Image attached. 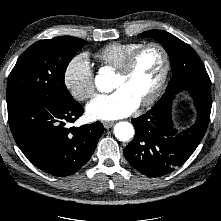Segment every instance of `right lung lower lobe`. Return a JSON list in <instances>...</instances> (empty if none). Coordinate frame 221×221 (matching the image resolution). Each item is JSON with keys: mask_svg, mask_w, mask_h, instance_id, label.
Returning a JSON list of instances; mask_svg holds the SVG:
<instances>
[{"mask_svg": "<svg viewBox=\"0 0 221 221\" xmlns=\"http://www.w3.org/2000/svg\"><path fill=\"white\" fill-rule=\"evenodd\" d=\"M13 137L27 159L58 177L78 171L93 154L104 132L99 121L68 128L84 112L77 101L44 102L26 98L7 103Z\"/></svg>", "mask_w": 221, "mask_h": 221, "instance_id": "98d812e1", "label": "right lung lower lobe"}]
</instances>
